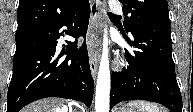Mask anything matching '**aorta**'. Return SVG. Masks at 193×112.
<instances>
[{"label":"aorta","mask_w":193,"mask_h":112,"mask_svg":"<svg viewBox=\"0 0 193 112\" xmlns=\"http://www.w3.org/2000/svg\"><path fill=\"white\" fill-rule=\"evenodd\" d=\"M109 101H110V68L108 56V38L105 31L103 39L102 57L100 61L96 85V97H95L96 112H109Z\"/></svg>","instance_id":"762f6f07"}]
</instances>
